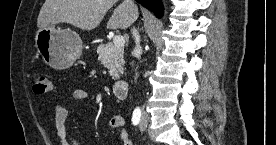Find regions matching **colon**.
Here are the masks:
<instances>
[{
    "instance_id": "colon-1",
    "label": "colon",
    "mask_w": 276,
    "mask_h": 145,
    "mask_svg": "<svg viewBox=\"0 0 276 145\" xmlns=\"http://www.w3.org/2000/svg\"><path fill=\"white\" fill-rule=\"evenodd\" d=\"M52 90V83L47 75L36 72L33 75V92L36 94H45Z\"/></svg>"
}]
</instances>
